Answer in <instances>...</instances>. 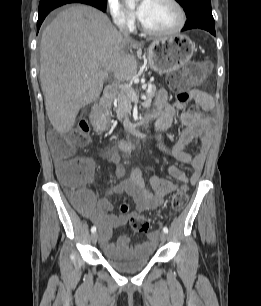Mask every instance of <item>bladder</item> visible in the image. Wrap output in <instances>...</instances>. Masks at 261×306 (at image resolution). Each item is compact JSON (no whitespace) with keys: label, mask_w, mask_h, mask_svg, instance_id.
<instances>
[{"label":"bladder","mask_w":261,"mask_h":306,"mask_svg":"<svg viewBox=\"0 0 261 306\" xmlns=\"http://www.w3.org/2000/svg\"><path fill=\"white\" fill-rule=\"evenodd\" d=\"M153 257V246L114 244L113 251L104 249L103 258L115 269L131 273L145 267Z\"/></svg>","instance_id":"obj_1"}]
</instances>
